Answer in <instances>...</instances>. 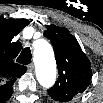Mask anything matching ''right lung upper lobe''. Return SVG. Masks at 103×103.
<instances>
[{
	"instance_id": "cb5924a9",
	"label": "right lung upper lobe",
	"mask_w": 103,
	"mask_h": 103,
	"mask_svg": "<svg viewBox=\"0 0 103 103\" xmlns=\"http://www.w3.org/2000/svg\"><path fill=\"white\" fill-rule=\"evenodd\" d=\"M29 24L26 19L0 18V93L12 94V85L17 77L26 72V67L14 62L21 44L12 42L25 26Z\"/></svg>"
}]
</instances>
